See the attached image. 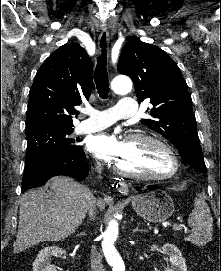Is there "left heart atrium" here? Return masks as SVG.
Instances as JSON below:
<instances>
[{
	"mask_svg": "<svg viewBox=\"0 0 221 271\" xmlns=\"http://www.w3.org/2000/svg\"><path fill=\"white\" fill-rule=\"evenodd\" d=\"M116 133L104 132L93 136L88 142V150L100 154V157H136L131 148L123 147V142H117Z\"/></svg>",
	"mask_w": 221,
	"mask_h": 271,
	"instance_id": "1",
	"label": "left heart atrium"
}]
</instances>
